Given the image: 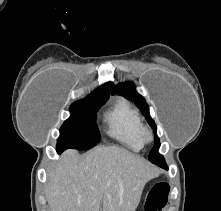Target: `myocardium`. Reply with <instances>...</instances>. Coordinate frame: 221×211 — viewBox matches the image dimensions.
I'll return each mask as SVG.
<instances>
[{
  "instance_id": "myocardium-1",
  "label": "myocardium",
  "mask_w": 221,
  "mask_h": 211,
  "mask_svg": "<svg viewBox=\"0 0 221 211\" xmlns=\"http://www.w3.org/2000/svg\"><path fill=\"white\" fill-rule=\"evenodd\" d=\"M142 139L144 142H151L153 140V133L148 127L143 126Z\"/></svg>"
}]
</instances>
